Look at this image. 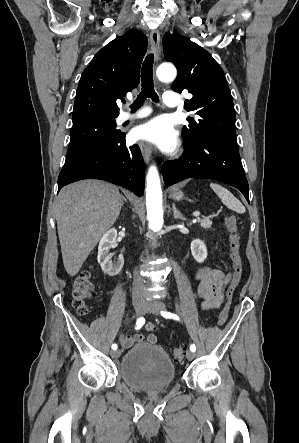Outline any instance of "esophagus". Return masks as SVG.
Wrapping results in <instances>:
<instances>
[{"mask_svg": "<svg viewBox=\"0 0 299 443\" xmlns=\"http://www.w3.org/2000/svg\"><path fill=\"white\" fill-rule=\"evenodd\" d=\"M150 44H151V50L155 54V58H158L159 50H160V33L158 30H153L150 34ZM139 147L142 153V156L144 158V161L146 163L149 162L152 150L148 143L146 142H140Z\"/></svg>", "mask_w": 299, "mask_h": 443, "instance_id": "esophagus-1", "label": "esophagus"}]
</instances>
